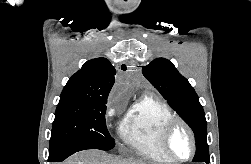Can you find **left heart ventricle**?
<instances>
[{
  "instance_id": "obj_1",
  "label": "left heart ventricle",
  "mask_w": 251,
  "mask_h": 164,
  "mask_svg": "<svg viewBox=\"0 0 251 164\" xmlns=\"http://www.w3.org/2000/svg\"><path fill=\"white\" fill-rule=\"evenodd\" d=\"M169 147L173 155L179 158H186L191 153V140L182 127H177L169 140Z\"/></svg>"
}]
</instances>
